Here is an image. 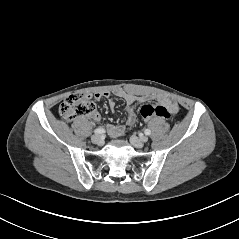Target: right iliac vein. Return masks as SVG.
<instances>
[{
	"mask_svg": "<svg viewBox=\"0 0 239 239\" xmlns=\"http://www.w3.org/2000/svg\"><path fill=\"white\" fill-rule=\"evenodd\" d=\"M91 141L94 143V144H101L103 142V139L100 135L98 134H95L91 137Z\"/></svg>",
	"mask_w": 239,
	"mask_h": 239,
	"instance_id": "right-iliac-vein-1",
	"label": "right iliac vein"
}]
</instances>
